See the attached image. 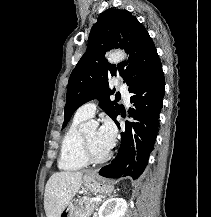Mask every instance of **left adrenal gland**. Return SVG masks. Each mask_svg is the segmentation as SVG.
<instances>
[{
  "label": "left adrenal gland",
  "mask_w": 211,
  "mask_h": 217,
  "mask_svg": "<svg viewBox=\"0 0 211 217\" xmlns=\"http://www.w3.org/2000/svg\"><path fill=\"white\" fill-rule=\"evenodd\" d=\"M102 201H104V199L97 203L96 208H98L99 204H101Z\"/></svg>",
  "instance_id": "left-adrenal-gland-1"
}]
</instances>
